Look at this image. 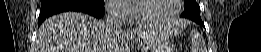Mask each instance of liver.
Wrapping results in <instances>:
<instances>
[{"instance_id":"obj_1","label":"liver","mask_w":261,"mask_h":52,"mask_svg":"<svg viewBox=\"0 0 261 52\" xmlns=\"http://www.w3.org/2000/svg\"><path fill=\"white\" fill-rule=\"evenodd\" d=\"M170 32L172 30L168 29L162 33ZM136 33L142 37L148 31L143 27ZM121 36L120 32L109 34L104 21L82 13L67 12L54 15L41 24L35 52H126L123 50L127 49L119 43Z\"/></svg>"}]
</instances>
